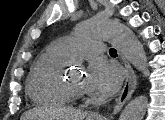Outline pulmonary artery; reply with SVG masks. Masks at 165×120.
Returning <instances> with one entry per match:
<instances>
[{"instance_id": "e3ab8cb5", "label": "pulmonary artery", "mask_w": 165, "mask_h": 120, "mask_svg": "<svg viewBox=\"0 0 165 120\" xmlns=\"http://www.w3.org/2000/svg\"><path fill=\"white\" fill-rule=\"evenodd\" d=\"M53 46L68 58L87 57L103 52V45L100 42L80 40L71 37H62L56 40Z\"/></svg>"}]
</instances>
